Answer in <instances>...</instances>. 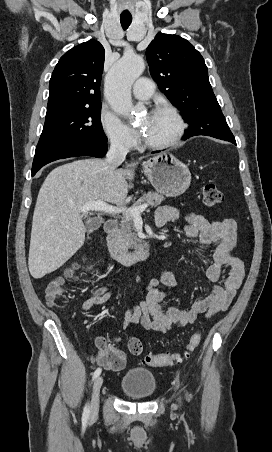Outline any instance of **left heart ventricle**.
<instances>
[{"label": "left heart ventricle", "instance_id": "1", "mask_svg": "<svg viewBox=\"0 0 272 452\" xmlns=\"http://www.w3.org/2000/svg\"><path fill=\"white\" fill-rule=\"evenodd\" d=\"M143 139L158 143L169 139L175 130L174 120L165 113H155L144 117L140 121Z\"/></svg>", "mask_w": 272, "mask_h": 452}]
</instances>
